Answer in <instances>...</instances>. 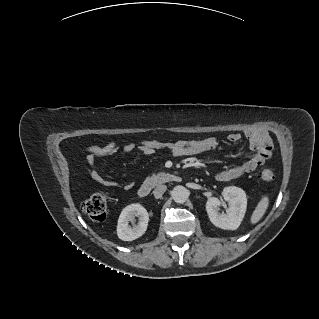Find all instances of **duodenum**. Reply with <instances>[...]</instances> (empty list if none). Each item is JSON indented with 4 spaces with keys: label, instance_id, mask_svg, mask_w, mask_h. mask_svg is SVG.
Segmentation results:
<instances>
[{
    "label": "duodenum",
    "instance_id": "410a0bca",
    "mask_svg": "<svg viewBox=\"0 0 319 319\" xmlns=\"http://www.w3.org/2000/svg\"><path fill=\"white\" fill-rule=\"evenodd\" d=\"M177 181H179V177L177 175L171 173H158L148 177L139 186L137 193L140 197H147L155 187Z\"/></svg>",
    "mask_w": 319,
    "mask_h": 319
}]
</instances>
